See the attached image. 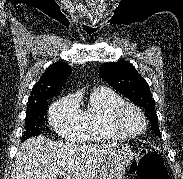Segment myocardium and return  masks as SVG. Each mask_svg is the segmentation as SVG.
I'll return each mask as SVG.
<instances>
[{
    "label": "myocardium",
    "mask_w": 183,
    "mask_h": 179,
    "mask_svg": "<svg viewBox=\"0 0 183 179\" xmlns=\"http://www.w3.org/2000/svg\"><path fill=\"white\" fill-rule=\"evenodd\" d=\"M127 109H133L135 110L141 117L142 119V128L140 131L136 133H127L122 130L120 126V118L122 114L124 113L125 110ZM108 125L110 129L118 135L120 138H135L140 135H142L146 128H147V118L146 115L144 114L143 110L137 106L134 103L123 101L120 104L116 105L109 113L108 115Z\"/></svg>",
    "instance_id": "myocardium-1"
}]
</instances>
